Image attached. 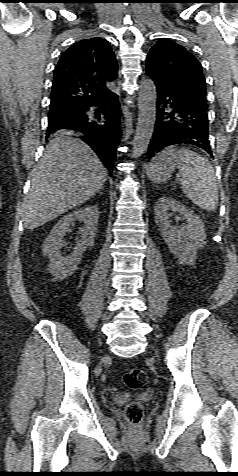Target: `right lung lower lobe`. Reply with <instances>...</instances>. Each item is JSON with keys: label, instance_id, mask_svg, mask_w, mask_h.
I'll return each mask as SVG.
<instances>
[{"label": "right lung lower lobe", "instance_id": "right-lung-lower-lobe-1", "mask_svg": "<svg viewBox=\"0 0 238 476\" xmlns=\"http://www.w3.org/2000/svg\"><path fill=\"white\" fill-rule=\"evenodd\" d=\"M91 106L99 108L95 116L88 113ZM57 129H69L82 133L83 141L96 152L110 174L112 173L116 149L121 137L120 105L115 93L110 91L84 108L79 115L66 121L48 123L47 136Z\"/></svg>", "mask_w": 238, "mask_h": 476}]
</instances>
